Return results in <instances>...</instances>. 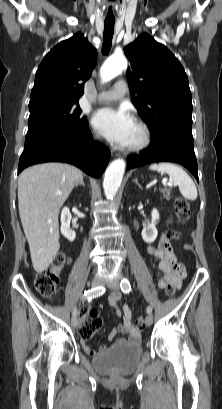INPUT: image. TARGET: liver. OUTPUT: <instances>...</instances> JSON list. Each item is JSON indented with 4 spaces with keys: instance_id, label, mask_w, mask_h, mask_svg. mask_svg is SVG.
I'll return each instance as SVG.
<instances>
[{
    "instance_id": "liver-1",
    "label": "liver",
    "mask_w": 222,
    "mask_h": 409,
    "mask_svg": "<svg viewBox=\"0 0 222 409\" xmlns=\"http://www.w3.org/2000/svg\"><path fill=\"white\" fill-rule=\"evenodd\" d=\"M82 171L65 163H44L25 169L18 179V207L33 268L46 270L59 251V210Z\"/></svg>"
}]
</instances>
